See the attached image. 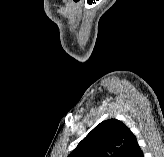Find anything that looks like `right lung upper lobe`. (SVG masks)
Listing matches in <instances>:
<instances>
[{
    "instance_id": "right-lung-upper-lobe-1",
    "label": "right lung upper lobe",
    "mask_w": 164,
    "mask_h": 157,
    "mask_svg": "<svg viewBox=\"0 0 164 157\" xmlns=\"http://www.w3.org/2000/svg\"><path fill=\"white\" fill-rule=\"evenodd\" d=\"M136 137L117 119L98 124L68 157H125Z\"/></svg>"
}]
</instances>
